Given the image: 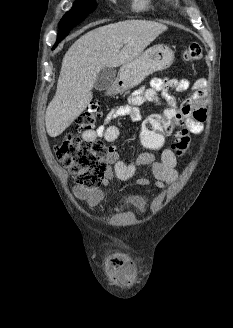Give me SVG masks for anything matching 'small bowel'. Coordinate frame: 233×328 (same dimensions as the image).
Listing matches in <instances>:
<instances>
[{"instance_id":"1","label":"small bowel","mask_w":233,"mask_h":328,"mask_svg":"<svg viewBox=\"0 0 233 328\" xmlns=\"http://www.w3.org/2000/svg\"><path fill=\"white\" fill-rule=\"evenodd\" d=\"M169 89L182 92L191 89L192 94L177 107L172 97L168 93ZM206 80L200 78L191 84L187 79L173 78H153L148 88H140L132 92L126 104L114 107L106 116L102 125L95 130L85 131L82 137L88 141H95L97 138H104L107 142H114L118 139L120 131L118 127L111 125V122L118 117H129L133 121L141 119L139 107L146 103L159 105L161 100L172 103L171 109L179 110L184 117L187 128L192 134H200L204 129L206 120ZM107 161L113 165L108 168L104 185L112 179L127 180L133 177L139 168L150 170L154 178V184L158 188L172 184L177 178L176 164L177 158L173 150L164 148L160 158H156L151 152L139 154L131 163L119 160L118 153L114 147L108 149ZM150 183L146 177L137 179V184L146 186ZM73 195L76 199L85 201L88 206L95 207L105 199V192L101 189L87 190L80 186L73 188ZM107 265L112 275V281L116 284H130L135 265L132 258L124 252L112 254L107 259Z\"/></svg>"}]
</instances>
